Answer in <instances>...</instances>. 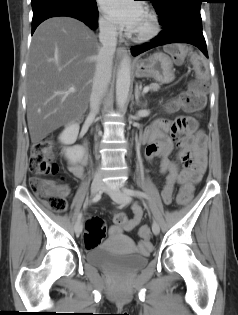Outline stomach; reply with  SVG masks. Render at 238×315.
<instances>
[{
    "instance_id": "obj_1",
    "label": "stomach",
    "mask_w": 238,
    "mask_h": 315,
    "mask_svg": "<svg viewBox=\"0 0 238 315\" xmlns=\"http://www.w3.org/2000/svg\"><path fill=\"white\" fill-rule=\"evenodd\" d=\"M134 69L139 71L137 77L152 78L162 84L170 83L175 79L172 60L162 52L138 60V66H134Z\"/></svg>"
}]
</instances>
